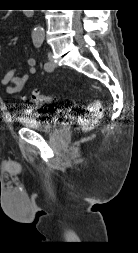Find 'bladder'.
<instances>
[{
    "label": "bladder",
    "mask_w": 138,
    "mask_h": 253,
    "mask_svg": "<svg viewBox=\"0 0 138 253\" xmlns=\"http://www.w3.org/2000/svg\"><path fill=\"white\" fill-rule=\"evenodd\" d=\"M20 123L27 129L44 133H52L61 126L57 116L41 114L38 110L25 112Z\"/></svg>",
    "instance_id": "31cf9c89"
}]
</instances>
